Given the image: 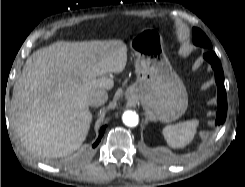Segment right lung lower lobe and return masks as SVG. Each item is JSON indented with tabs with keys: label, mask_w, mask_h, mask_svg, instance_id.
Returning <instances> with one entry per match:
<instances>
[{
	"label": "right lung lower lobe",
	"mask_w": 245,
	"mask_h": 187,
	"mask_svg": "<svg viewBox=\"0 0 245 187\" xmlns=\"http://www.w3.org/2000/svg\"><path fill=\"white\" fill-rule=\"evenodd\" d=\"M104 131H105V126L101 128V130H100V135H99L97 141L93 144V147H96V146L98 145V143H99L100 140H101V137H102L103 134H104Z\"/></svg>",
	"instance_id": "98d812e1"
}]
</instances>
